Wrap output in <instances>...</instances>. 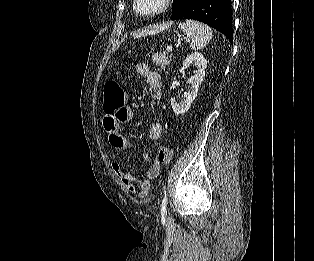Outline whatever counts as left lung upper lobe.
Segmentation results:
<instances>
[{"instance_id": "obj_1", "label": "left lung upper lobe", "mask_w": 314, "mask_h": 261, "mask_svg": "<svg viewBox=\"0 0 314 261\" xmlns=\"http://www.w3.org/2000/svg\"><path fill=\"white\" fill-rule=\"evenodd\" d=\"M184 0H173L172 15L175 14Z\"/></svg>"}]
</instances>
